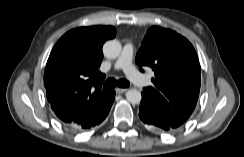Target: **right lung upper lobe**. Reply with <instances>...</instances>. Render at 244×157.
<instances>
[{"instance_id":"obj_1","label":"right lung upper lobe","mask_w":244,"mask_h":157,"mask_svg":"<svg viewBox=\"0 0 244 157\" xmlns=\"http://www.w3.org/2000/svg\"><path fill=\"white\" fill-rule=\"evenodd\" d=\"M112 26L80 27L68 31L53 47L44 72L47 100L65 124L82 125L108 102L102 91L105 75L98 71L102 46L114 38Z\"/></svg>"}]
</instances>
